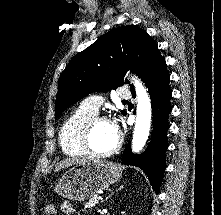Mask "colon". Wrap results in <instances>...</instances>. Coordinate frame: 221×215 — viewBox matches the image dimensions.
I'll return each mask as SVG.
<instances>
[{"label": "colon", "instance_id": "1", "mask_svg": "<svg viewBox=\"0 0 221 215\" xmlns=\"http://www.w3.org/2000/svg\"><path fill=\"white\" fill-rule=\"evenodd\" d=\"M55 212H56V208L54 205H52V204L45 205V207H44L45 215H54Z\"/></svg>", "mask_w": 221, "mask_h": 215}]
</instances>
